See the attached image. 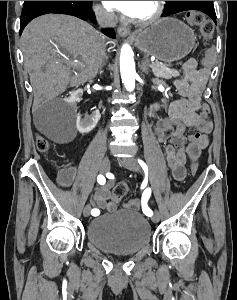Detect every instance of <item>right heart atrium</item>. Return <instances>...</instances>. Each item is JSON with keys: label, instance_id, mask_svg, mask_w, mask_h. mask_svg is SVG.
Returning <instances> with one entry per match:
<instances>
[{"label": "right heart atrium", "instance_id": "1", "mask_svg": "<svg viewBox=\"0 0 237 300\" xmlns=\"http://www.w3.org/2000/svg\"><path fill=\"white\" fill-rule=\"evenodd\" d=\"M93 12L96 20L101 24L111 25L115 22V15L112 12L106 10L100 4H95L93 6Z\"/></svg>", "mask_w": 237, "mask_h": 300}]
</instances>
